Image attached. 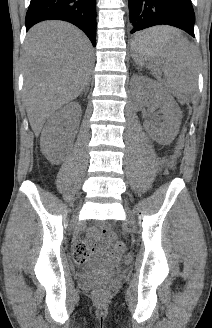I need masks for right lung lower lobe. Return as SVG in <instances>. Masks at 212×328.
<instances>
[{
  "label": "right lung lower lobe",
  "mask_w": 212,
  "mask_h": 328,
  "mask_svg": "<svg viewBox=\"0 0 212 328\" xmlns=\"http://www.w3.org/2000/svg\"><path fill=\"white\" fill-rule=\"evenodd\" d=\"M49 19L64 20L76 25L95 46L96 0H31L26 13V30Z\"/></svg>",
  "instance_id": "1"
}]
</instances>
